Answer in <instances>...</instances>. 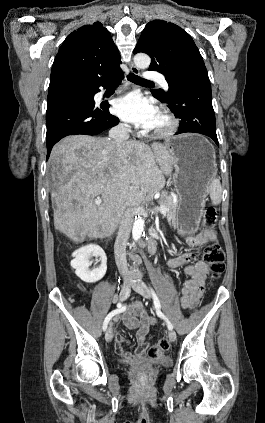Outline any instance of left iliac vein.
<instances>
[{"instance_id":"left-iliac-vein-1","label":"left iliac vein","mask_w":265,"mask_h":423,"mask_svg":"<svg viewBox=\"0 0 265 423\" xmlns=\"http://www.w3.org/2000/svg\"><path fill=\"white\" fill-rule=\"evenodd\" d=\"M133 289L138 292L143 297L150 299L151 298V292L147 285L143 282H138L137 284L133 285ZM169 339L173 342L176 340V333L173 330H170L168 333Z\"/></svg>"}]
</instances>
